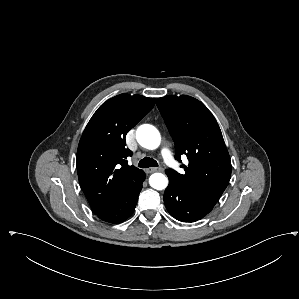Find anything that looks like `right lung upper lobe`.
Segmentation results:
<instances>
[{
    "label": "right lung upper lobe",
    "instance_id": "1",
    "mask_svg": "<svg viewBox=\"0 0 299 299\" xmlns=\"http://www.w3.org/2000/svg\"><path fill=\"white\" fill-rule=\"evenodd\" d=\"M155 98L120 94L94 113L77 150L81 188L93 210L99 213L114 202L143 172L128 165L132 151L125 136L155 104Z\"/></svg>",
    "mask_w": 299,
    "mask_h": 299
}]
</instances>
